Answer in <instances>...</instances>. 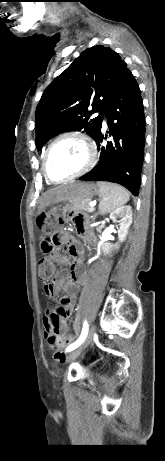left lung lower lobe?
I'll return each mask as SVG.
<instances>
[{
  "instance_id": "obj_1",
  "label": "left lung lower lobe",
  "mask_w": 165,
  "mask_h": 461,
  "mask_svg": "<svg viewBox=\"0 0 165 461\" xmlns=\"http://www.w3.org/2000/svg\"><path fill=\"white\" fill-rule=\"evenodd\" d=\"M105 116L113 141L99 148V163L79 180L115 182L137 196L144 158L145 118L139 85L129 69L107 104ZM103 139L100 130L94 139L98 147Z\"/></svg>"
}]
</instances>
